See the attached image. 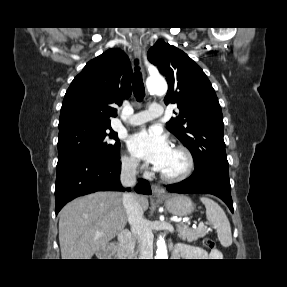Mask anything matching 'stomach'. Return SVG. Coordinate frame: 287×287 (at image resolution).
Segmentation results:
<instances>
[{"instance_id":"stomach-1","label":"stomach","mask_w":287,"mask_h":287,"mask_svg":"<svg viewBox=\"0 0 287 287\" xmlns=\"http://www.w3.org/2000/svg\"><path fill=\"white\" fill-rule=\"evenodd\" d=\"M161 199L164 201L166 209L176 216H187L194 210L192 200L185 195H165Z\"/></svg>"}]
</instances>
